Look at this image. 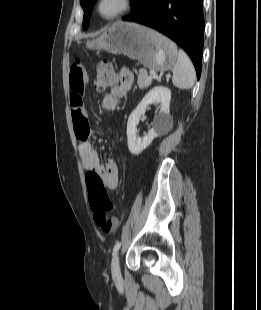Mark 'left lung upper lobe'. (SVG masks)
<instances>
[{"mask_svg": "<svg viewBox=\"0 0 261 310\" xmlns=\"http://www.w3.org/2000/svg\"><path fill=\"white\" fill-rule=\"evenodd\" d=\"M97 0H81V6L84 10V21H83V27L84 29H87L89 26V18L92 14V9L94 6V3ZM136 0H131V6L133 7L135 4Z\"/></svg>", "mask_w": 261, "mask_h": 310, "instance_id": "1", "label": "left lung upper lobe"}]
</instances>
